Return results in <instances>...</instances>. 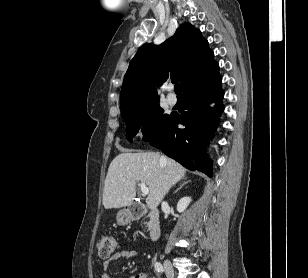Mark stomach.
I'll return each mask as SVG.
<instances>
[{
  "mask_svg": "<svg viewBox=\"0 0 308 278\" xmlns=\"http://www.w3.org/2000/svg\"><path fill=\"white\" fill-rule=\"evenodd\" d=\"M129 221V215L126 211H120L117 214V222L119 224H125Z\"/></svg>",
  "mask_w": 308,
  "mask_h": 278,
  "instance_id": "0dacf381",
  "label": "stomach"
}]
</instances>
